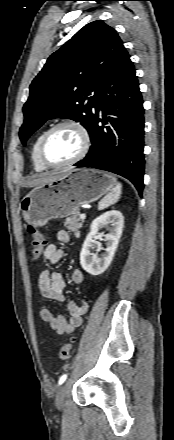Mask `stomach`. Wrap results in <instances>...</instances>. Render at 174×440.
I'll return each mask as SVG.
<instances>
[{
    "mask_svg": "<svg viewBox=\"0 0 174 440\" xmlns=\"http://www.w3.org/2000/svg\"><path fill=\"white\" fill-rule=\"evenodd\" d=\"M116 185V178L105 172L80 168L62 173L56 179L35 186L21 201L25 221L43 226L51 219L72 215L82 204L96 201Z\"/></svg>",
    "mask_w": 174,
    "mask_h": 440,
    "instance_id": "1",
    "label": "stomach"
}]
</instances>
